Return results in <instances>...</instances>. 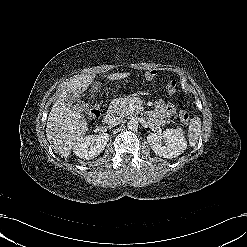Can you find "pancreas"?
Returning <instances> with one entry per match:
<instances>
[{"instance_id": "pancreas-1", "label": "pancreas", "mask_w": 247, "mask_h": 247, "mask_svg": "<svg viewBox=\"0 0 247 247\" xmlns=\"http://www.w3.org/2000/svg\"><path fill=\"white\" fill-rule=\"evenodd\" d=\"M130 105H143V101L136 97V95H129L125 98H120L112 102L110 111L121 117L129 116L134 114V110L130 108Z\"/></svg>"}]
</instances>
